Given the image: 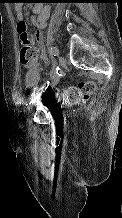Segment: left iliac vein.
<instances>
[{
	"instance_id": "4c4485c4",
	"label": "left iliac vein",
	"mask_w": 122,
	"mask_h": 218,
	"mask_svg": "<svg viewBox=\"0 0 122 218\" xmlns=\"http://www.w3.org/2000/svg\"><path fill=\"white\" fill-rule=\"evenodd\" d=\"M59 63L61 65V67H65L66 66V59L63 56H59ZM57 82V78H55L53 84H55ZM43 93V92H42ZM42 93L37 94L34 101L29 104L28 106V110L31 111L33 109V106L37 103V101L40 99V96L42 95Z\"/></svg>"
}]
</instances>
